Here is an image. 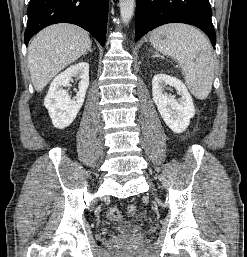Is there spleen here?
Instances as JSON below:
<instances>
[{"instance_id": "1", "label": "spleen", "mask_w": 247, "mask_h": 257, "mask_svg": "<svg viewBox=\"0 0 247 257\" xmlns=\"http://www.w3.org/2000/svg\"><path fill=\"white\" fill-rule=\"evenodd\" d=\"M150 42L155 49L179 62L191 93L206 98L212 88L214 63L208 39L196 28L167 24L155 29Z\"/></svg>"}]
</instances>
